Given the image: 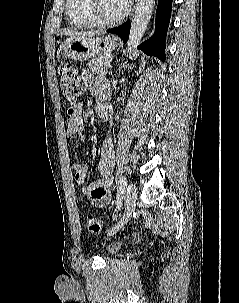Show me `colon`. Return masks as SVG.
<instances>
[{
  "label": "colon",
  "mask_w": 239,
  "mask_h": 303,
  "mask_svg": "<svg viewBox=\"0 0 239 303\" xmlns=\"http://www.w3.org/2000/svg\"><path fill=\"white\" fill-rule=\"evenodd\" d=\"M60 83L64 97L70 103L76 102L83 92L78 71L68 63L60 66ZM86 226L89 231L97 233L102 229L101 221L95 216L86 218Z\"/></svg>",
  "instance_id": "obj_1"
}]
</instances>
